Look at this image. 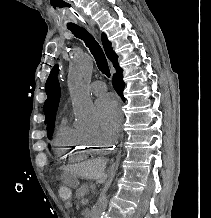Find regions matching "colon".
<instances>
[{
    "label": "colon",
    "instance_id": "obj_1",
    "mask_svg": "<svg viewBox=\"0 0 211 218\" xmlns=\"http://www.w3.org/2000/svg\"><path fill=\"white\" fill-rule=\"evenodd\" d=\"M58 196L64 202L70 201L72 197L71 189L66 185H60L58 188Z\"/></svg>",
    "mask_w": 211,
    "mask_h": 218
}]
</instances>
